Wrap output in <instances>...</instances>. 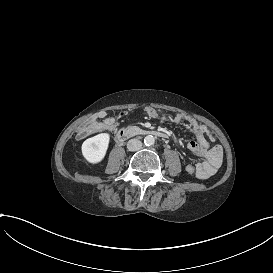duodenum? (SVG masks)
Segmentation results:
<instances>
[{
  "mask_svg": "<svg viewBox=\"0 0 273 273\" xmlns=\"http://www.w3.org/2000/svg\"><path fill=\"white\" fill-rule=\"evenodd\" d=\"M139 135H153L159 138H166V133L160 130H149V129H141L138 127H129L126 129H121L116 134V140L118 143H123L129 138L139 136Z\"/></svg>",
  "mask_w": 273,
  "mask_h": 273,
  "instance_id": "duodenum-1",
  "label": "duodenum"
}]
</instances>
